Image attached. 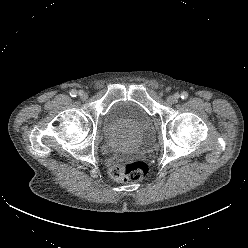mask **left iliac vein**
<instances>
[{
  "label": "left iliac vein",
  "mask_w": 248,
  "mask_h": 248,
  "mask_svg": "<svg viewBox=\"0 0 248 248\" xmlns=\"http://www.w3.org/2000/svg\"><path fill=\"white\" fill-rule=\"evenodd\" d=\"M176 100H177V95H170L166 99L167 103L169 104H174Z\"/></svg>",
  "instance_id": "1"
}]
</instances>
